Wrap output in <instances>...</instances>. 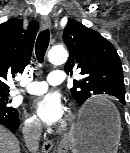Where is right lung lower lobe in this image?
<instances>
[{
	"label": "right lung lower lobe",
	"mask_w": 130,
	"mask_h": 153,
	"mask_svg": "<svg viewBox=\"0 0 130 153\" xmlns=\"http://www.w3.org/2000/svg\"><path fill=\"white\" fill-rule=\"evenodd\" d=\"M18 112H8L0 109V124L7 127L10 131H15L19 127Z\"/></svg>",
	"instance_id": "right-lung-lower-lobe-1"
}]
</instances>
